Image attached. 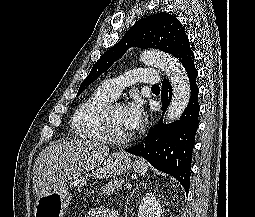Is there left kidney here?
Wrapping results in <instances>:
<instances>
[{
  "label": "left kidney",
  "instance_id": "left-kidney-1",
  "mask_svg": "<svg viewBox=\"0 0 255 217\" xmlns=\"http://www.w3.org/2000/svg\"><path fill=\"white\" fill-rule=\"evenodd\" d=\"M162 206L152 193H146L138 209V217H161Z\"/></svg>",
  "mask_w": 255,
  "mask_h": 217
}]
</instances>
